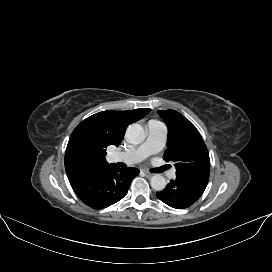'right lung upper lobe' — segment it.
Instances as JSON below:
<instances>
[{"instance_id":"obj_1","label":"right lung upper lobe","mask_w":272,"mask_h":272,"mask_svg":"<svg viewBox=\"0 0 272 272\" xmlns=\"http://www.w3.org/2000/svg\"><path fill=\"white\" fill-rule=\"evenodd\" d=\"M150 111L147 108L108 110L83 120L72 132L65 152L69 181L107 168L106 148L109 145L119 146L128 125L142 119Z\"/></svg>"}]
</instances>
